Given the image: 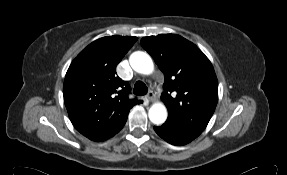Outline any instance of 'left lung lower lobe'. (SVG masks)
Masks as SVG:
<instances>
[{
	"instance_id": "obj_1",
	"label": "left lung lower lobe",
	"mask_w": 287,
	"mask_h": 175,
	"mask_svg": "<svg viewBox=\"0 0 287 175\" xmlns=\"http://www.w3.org/2000/svg\"><path fill=\"white\" fill-rule=\"evenodd\" d=\"M154 130L162 139L173 145H185L194 140L167 124H163L160 127H154Z\"/></svg>"
}]
</instances>
